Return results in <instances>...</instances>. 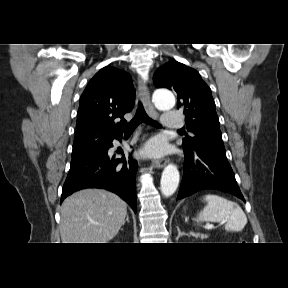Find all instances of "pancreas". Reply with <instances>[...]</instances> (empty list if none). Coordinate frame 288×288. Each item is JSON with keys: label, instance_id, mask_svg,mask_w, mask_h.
I'll use <instances>...</instances> for the list:
<instances>
[{"label": "pancreas", "instance_id": "obj_1", "mask_svg": "<svg viewBox=\"0 0 288 288\" xmlns=\"http://www.w3.org/2000/svg\"><path fill=\"white\" fill-rule=\"evenodd\" d=\"M193 235H194L195 237H201V239H204V238H207V237H208L207 235L199 234V233H193Z\"/></svg>", "mask_w": 288, "mask_h": 288}]
</instances>
